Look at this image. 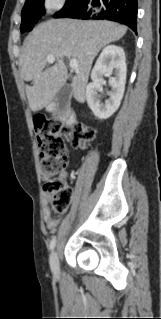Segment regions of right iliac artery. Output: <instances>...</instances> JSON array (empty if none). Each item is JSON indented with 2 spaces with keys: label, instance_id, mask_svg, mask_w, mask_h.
<instances>
[{
  "label": "right iliac artery",
  "instance_id": "obj_1",
  "mask_svg": "<svg viewBox=\"0 0 161 319\" xmlns=\"http://www.w3.org/2000/svg\"><path fill=\"white\" fill-rule=\"evenodd\" d=\"M55 245H56V238L53 237L52 240H51V242H50V249L53 250L54 247H55Z\"/></svg>",
  "mask_w": 161,
  "mask_h": 319
}]
</instances>
